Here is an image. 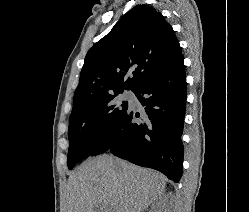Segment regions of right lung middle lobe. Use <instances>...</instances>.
<instances>
[{
	"label": "right lung middle lobe",
	"mask_w": 249,
	"mask_h": 212,
	"mask_svg": "<svg viewBox=\"0 0 249 212\" xmlns=\"http://www.w3.org/2000/svg\"><path fill=\"white\" fill-rule=\"evenodd\" d=\"M120 93L107 95L72 109L68 130L69 169L83 159L97 155L109 131L124 116L129 107L127 101L116 98Z\"/></svg>",
	"instance_id": "dd1d6c3e"
}]
</instances>
